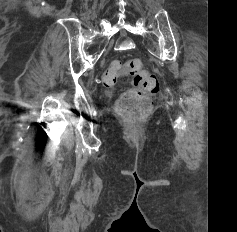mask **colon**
I'll return each instance as SVG.
<instances>
[{
  "label": "colon",
  "instance_id": "1",
  "mask_svg": "<svg viewBox=\"0 0 237 232\" xmlns=\"http://www.w3.org/2000/svg\"><path fill=\"white\" fill-rule=\"evenodd\" d=\"M126 75L133 76V88L121 96L117 111L125 120L138 122L150 114L149 95L158 92L159 82L154 74L143 70L141 61L133 59L124 64L118 60L112 61L103 74V83L112 86Z\"/></svg>",
  "mask_w": 237,
  "mask_h": 232
}]
</instances>
